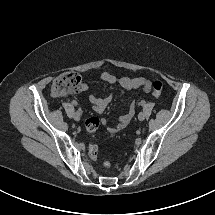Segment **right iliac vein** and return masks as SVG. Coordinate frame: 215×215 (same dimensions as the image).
I'll return each instance as SVG.
<instances>
[{
	"label": "right iliac vein",
	"instance_id": "right-iliac-vein-1",
	"mask_svg": "<svg viewBox=\"0 0 215 215\" xmlns=\"http://www.w3.org/2000/svg\"><path fill=\"white\" fill-rule=\"evenodd\" d=\"M73 118L74 120L79 121L81 117L79 113H75Z\"/></svg>",
	"mask_w": 215,
	"mask_h": 215
}]
</instances>
